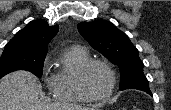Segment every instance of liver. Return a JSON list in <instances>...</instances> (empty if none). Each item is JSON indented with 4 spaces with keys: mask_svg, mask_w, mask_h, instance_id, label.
I'll list each match as a JSON object with an SVG mask.
<instances>
[{
    "mask_svg": "<svg viewBox=\"0 0 171 110\" xmlns=\"http://www.w3.org/2000/svg\"><path fill=\"white\" fill-rule=\"evenodd\" d=\"M35 75L20 70L0 80V110H90L74 104L48 103Z\"/></svg>",
    "mask_w": 171,
    "mask_h": 110,
    "instance_id": "1",
    "label": "liver"
}]
</instances>
